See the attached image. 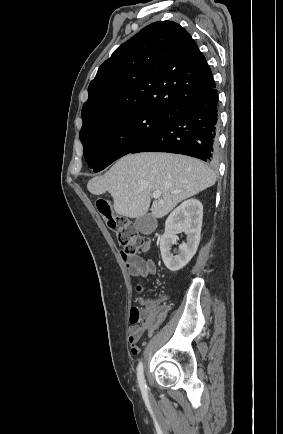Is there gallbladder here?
Masks as SVG:
<instances>
[{
    "instance_id": "bac80fb5",
    "label": "gallbladder",
    "mask_w": 283,
    "mask_h": 434,
    "mask_svg": "<svg viewBox=\"0 0 283 434\" xmlns=\"http://www.w3.org/2000/svg\"><path fill=\"white\" fill-rule=\"evenodd\" d=\"M134 224L137 231L146 235L152 233L157 226L155 218L148 213L137 218Z\"/></svg>"
}]
</instances>
